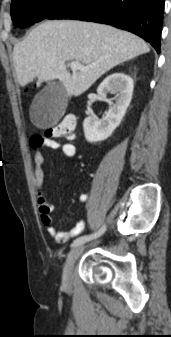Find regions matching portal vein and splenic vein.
I'll return each instance as SVG.
<instances>
[{"instance_id": "1", "label": "portal vein and splenic vein", "mask_w": 171, "mask_h": 337, "mask_svg": "<svg viewBox=\"0 0 171 337\" xmlns=\"http://www.w3.org/2000/svg\"><path fill=\"white\" fill-rule=\"evenodd\" d=\"M70 68L72 69V70H78V69H80V70H85V69H87L86 67H84V66H82L79 62H77V61H71V63H70Z\"/></svg>"}]
</instances>
